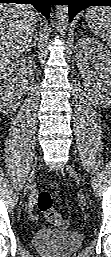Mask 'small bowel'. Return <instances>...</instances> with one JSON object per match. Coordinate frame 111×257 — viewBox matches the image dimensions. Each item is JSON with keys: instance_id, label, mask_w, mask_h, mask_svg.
Returning <instances> with one entry per match:
<instances>
[{"instance_id": "small-bowel-1", "label": "small bowel", "mask_w": 111, "mask_h": 257, "mask_svg": "<svg viewBox=\"0 0 111 257\" xmlns=\"http://www.w3.org/2000/svg\"><path fill=\"white\" fill-rule=\"evenodd\" d=\"M28 211H29L30 218L32 220H36L37 216L33 213V203L32 202L29 204Z\"/></svg>"}]
</instances>
